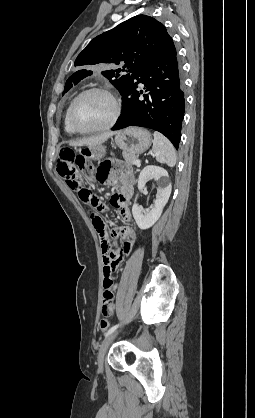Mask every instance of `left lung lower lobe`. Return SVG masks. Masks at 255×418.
Returning a JSON list of instances; mask_svg holds the SVG:
<instances>
[{
    "label": "left lung lower lobe",
    "instance_id": "0a47b994",
    "mask_svg": "<svg viewBox=\"0 0 255 418\" xmlns=\"http://www.w3.org/2000/svg\"><path fill=\"white\" fill-rule=\"evenodd\" d=\"M142 83L146 94L137 91ZM181 64L173 40L151 55L131 75L122 92V113L112 130L128 126L161 132L179 147L185 110Z\"/></svg>",
    "mask_w": 255,
    "mask_h": 418
}]
</instances>
